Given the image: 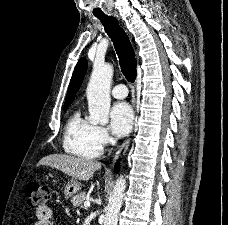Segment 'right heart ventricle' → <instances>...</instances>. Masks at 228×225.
I'll return each mask as SVG.
<instances>
[{
  "mask_svg": "<svg viewBox=\"0 0 228 225\" xmlns=\"http://www.w3.org/2000/svg\"><path fill=\"white\" fill-rule=\"evenodd\" d=\"M62 147L65 153L82 158H97L102 153L96 125L85 120L79 109H75L66 121Z\"/></svg>",
  "mask_w": 228,
  "mask_h": 225,
  "instance_id": "e07e8e85",
  "label": "right heart ventricle"
}]
</instances>
